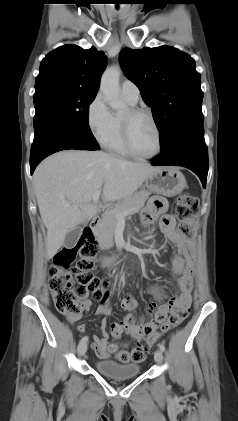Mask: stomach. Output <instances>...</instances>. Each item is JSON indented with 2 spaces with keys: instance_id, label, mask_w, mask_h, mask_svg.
<instances>
[{
  "instance_id": "1",
  "label": "stomach",
  "mask_w": 238,
  "mask_h": 421,
  "mask_svg": "<svg viewBox=\"0 0 238 421\" xmlns=\"http://www.w3.org/2000/svg\"><path fill=\"white\" fill-rule=\"evenodd\" d=\"M145 185L153 192L172 197L182 192L186 180L177 168L158 167L146 178Z\"/></svg>"
}]
</instances>
